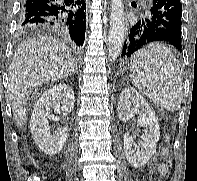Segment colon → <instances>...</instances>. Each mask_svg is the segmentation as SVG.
Segmentation results:
<instances>
[{"label":"colon","instance_id":"colon-1","mask_svg":"<svg viewBox=\"0 0 197 181\" xmlns=\"http://www.w3.org/2000/svg\"><path fill=\"white\" fill-rule=\"evenodd\" d=\"M167 170H168L167 165H163V166L161 167V171H162L163 174H166V173H167Z\"/></svg>","mask_w":197,"mask_h":181}]
</instances>
